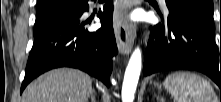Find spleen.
I'll return each mask as SVG.
<instances>
[{
    "label": "spleen",
    "mask_w": 221,
    "mask_h": 102,
    "mask_svg": "<svg viewBox=\"0 0 221 102\" xmlns=\"http://www.w3.org/2000/svg\"><path fill=\"white\" fill-rule=\"evenodd\" d=\"M164 87L174 102H217L210 83L192 72L178 71L169 74Z\"/></svg>",
    "instance_id": "spleen-1"
}]
</instances>
